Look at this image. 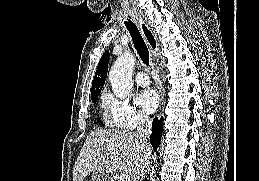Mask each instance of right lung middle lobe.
<instances>
[{"label":"right lung middle lobe","instance_id":"1","mask_svg":"<svg viewBox=\"0 0 259 181\" xmlns=\"http://www.w3.org/2000/svg\"><path fill=\"white\" fill-rule=\"evenodd\" d=\"M97 97H98V96H96V97H92V98H91L93 103H96V101H97Z\"/></svg>","mask_w":259,"mask_h":181}]
</instances>
